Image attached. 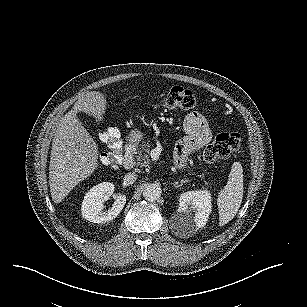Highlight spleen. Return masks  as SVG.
Returning a JSON list of instances; mask_svg holds the SVG:
<instances>
[{
  "instance_id": "3e777b00",
  "label": "spleen",
  "mask_w": 307,
  "mask_h": 307,
  "mask_svg": "<svg viewBox=\"0 0 307 307\" xmlns=\"http://www.w3.org/2000/svg\"><path fill=\"white\" fill-rule=\"evenodd\" d=\"M243 169L234 162L225 188L218 196L220 226L231 221L238 212L243 199Z\"/></svg>"
}]
</instances>
